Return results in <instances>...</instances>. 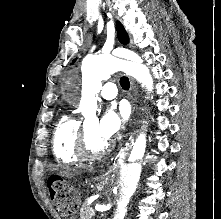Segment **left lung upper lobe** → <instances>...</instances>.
Returning a JSON list of instances; mask_svg holds the SVG:
<instances>
[{
	"mask_svg": "<svg viewBox=\"0 0 221 219\" xmlns=\"http://www.w3.org/2000/svg\"><path fill=\"white\" fill-rule=\"evenodd\" d=\"M116 30H117V36H118L119 41L122 44L126 45L129 42V38L122 24L119 21H117ZM73 62H75V60Z\"/></svg>",
	"mask_w": 221,
	"mask_h": 219,
	"instance_id": "5c2ea615",
	"label": "left lung upper lobe"
}]
</instances>
